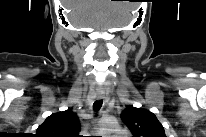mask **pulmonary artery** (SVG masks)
I'll return each instance as SVG.
<instances>
[{
    "label": "pulmonary artery",
    "instance_id": "pulmonary-artery-1",
    "mask_svg": "<svg viewBox=\"0 0 206 137\" xmlns=\"http://www.w3.org/2000/svg\"><path fill=\"white\" fill-rule=\"evenodd\" d=\"M111 137H127V133L123 130H119Z\"/></svg>",
    "mask_w": 206,
    "mask_h": 137
}]
</instances>
